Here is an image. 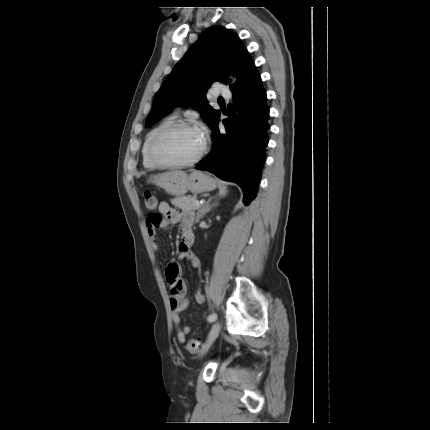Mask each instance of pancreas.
<instances>
[{
  "label": "pancreas",
  "instance_id": "obj_1",
  "mask_svg": "<svg viewBox=\"0 0 430 430\" xmlns=\"http://www.w3.org/2000/svg\"><path fill=\"white\" fill-rule=\"evenodd\" d=\"M195 200L196 197L195 196H181V197H176L173 198L171 200V203L176 206L179 207L183 210H197L199 209L198 206L195 205Z\"/></svg>",
  "mask_w": 430,
  "mask_h": 430
}]
</instances>
